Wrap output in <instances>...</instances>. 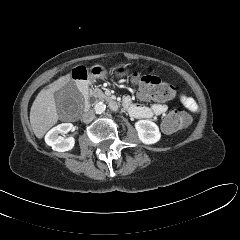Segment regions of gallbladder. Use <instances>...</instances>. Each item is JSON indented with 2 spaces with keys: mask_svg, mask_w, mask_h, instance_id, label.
<instances>
[{
  "mask_svg": "<svg viewBox=\"0 0 240 240\" xmlns=\"http://www.w3.org/2000/svg\"><path fill=\"white\" fill-rule=\"evenodd\" d=\"M57 111L60 116L74 112L81 104V97L74 82H69L54 93Z\"/></svg>",
  "mask_w": 240,
  "mask_h": 240,
  "instance_id": "gallbladder-1",
  "label": "gallbladder"
}]
</instances>
